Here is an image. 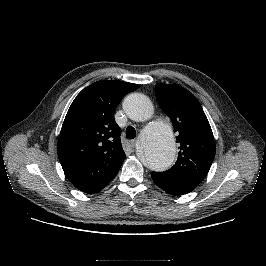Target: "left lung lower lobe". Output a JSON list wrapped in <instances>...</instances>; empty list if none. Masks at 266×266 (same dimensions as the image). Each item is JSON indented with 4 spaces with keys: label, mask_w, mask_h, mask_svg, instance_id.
<instances>
[{
    "label": "left lung lower lobe",
    "mask_w": 266,
    "mask_h": 266,
    "mask_svg": "<svg viewBox=\"0 0 266 266\" xmlns=\"http://www.w3.org/2000/svg\"><path fill=\"white\" fill-rule=\"evenodd\" d=\"M152 179L161 189L171 195H183L191 192L193 188L177 183L158 172H152Z\"/></svg>",
    "instance_id": "0a47b994"
}]
</instances>
